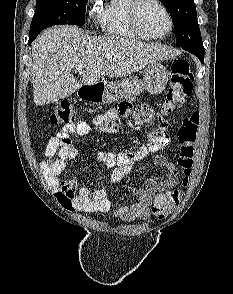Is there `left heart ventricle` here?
Wrapping results in <instances>:
<instances>
[{"label":"left heart ventricle","instance_id":"obj_1","mask_svg":"<svg viewBox=\"0 0 233 294\" xmlns=\"http://www.w3.org/2000/svg\"><path fill=\"white\" fill-rule=\"evenodd\" d=\"M140 19L144 29L152 35L163 34L169 28L165 12L153 2L144 4L140 12Z\"/></svg>","mask_w":233,"mask_h":294}]
</instances>
